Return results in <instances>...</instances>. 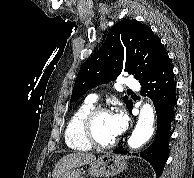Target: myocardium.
I'll return each mask as SVG.
<instances>
[{
    "mask_svg": "<svg viewBox=\"0 0 194 178\" xmlns=\"http://www.w3.org/2000/svg\"><path fill=\"white\" fill-rule=\"evenodd\" d=\"M110 114L111 110L107 107L96 106L88 111L82 120V134L84 139L93 147L107 149L113 147L118 142V137L116 136L113 140L103 143L96 139L94 134V121L96 117L100 114Z\"/></svg>",
    "mask_w": 194,
    "mask_h": 178,
    "instance_id": "obj_1",
    "label": "myocardium"
}]
</instances>
